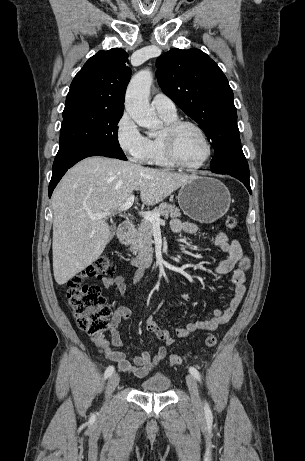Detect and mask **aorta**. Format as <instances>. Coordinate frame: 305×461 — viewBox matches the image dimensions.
I'll use <instances>...</instances> for the list:
<instances>
[{
    "mask_svg": "<svg viewBox=\"0 0 305 461\" xmlns=\"http://www.w3.org/2000/svg\"><path fill=\"white\" fill-rule=\"evenodd\" d=\"M153 82L152 73L144 69L135 74L126 91L125 109L130 117L141 127L156 131L161 121L150 107L149 94Z\"/></svg>",
    "mask_w": 305,
    "mask_h": 461,
    "instance_id": "1",
    "label": "aorta"
}]
</instances>
